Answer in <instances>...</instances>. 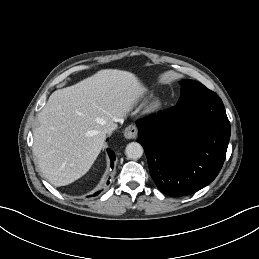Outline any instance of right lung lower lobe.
Instances as JSON below:
<instances>
[{"instance_id":"obj_1","label":"right lung lower lobe","mask_w":259,"mask_h":259,"mask_svg":"<svg viewBox=\"0 0 259 259\" xmlns=\"http://www.w3.org/2000/svg\"><path fill=\"white\" fill-rule=\"evenodd\" d=\"M107 151H108V154L110 156V159H111V162H112V165H113V162L115 160V154L110 149H107ZM108 183H109V181H108ZM98 193L99 192L95 193L94 195H98Z\"/></svg>"}]
</instances>
